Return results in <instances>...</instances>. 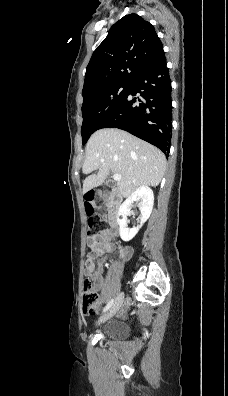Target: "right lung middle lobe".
<instances>
[{
	"mask_svg": "<svg viewBox=\"0 0 228 396\" xmlns=\"http://www.w3.org/2000/svg\"><path fill=\"white\" fill-rule=\"evenodd\" d=\"M131 82L114 83L83 95L82 144L100 129L102 122L120 105L129 91Z\"/></svg>",
	"mask_w": 228,
	"mask_h": 396,
	"instance_id": "obj_1",
	"label": "right lung middle lobe"
}]
</instances>
